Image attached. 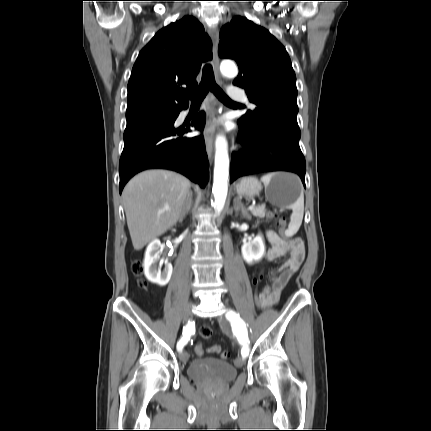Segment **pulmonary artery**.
I'll return each instance as SVG.
<instances>
[{"label":"pulmonary artery","instance_id":"obj_1","mask_svg":"<svg viewBox=\"0 0 431 431\" xmlns=\"http://www.w3.org/2000/svg\"><path fill=\"white\" fill-rule=\"evenodd\" d=\"M228 95L231 100L237 101V102H246V96L244 92L236 87V86H229L227 89Z\"/></svg>","mask_w":431,"mask_h":431}]
</instances>
